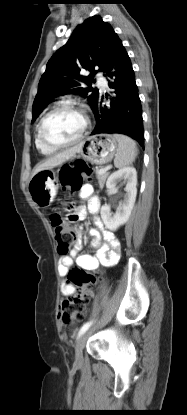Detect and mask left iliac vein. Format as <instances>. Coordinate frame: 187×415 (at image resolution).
Instances as JSON below:
<instances>
[{
    "label": "left iliac vein",
    "mask_w": 187,
    "mask_h": 415,
    "mask_svg": "<svg viewBox=\"0 0 187 415\" xmlns=\"http://www.w3.org/2000/svg\"><path fill=\"white\" fill-rule=\"evenodd\" d=\"M91 329L86 330L76 341L75 344V364L80 365L83 362V350L86 341L90 335Z\"/></svg>",
    "instance_id": "left-iliac-vein-1"
}]
</instances>
